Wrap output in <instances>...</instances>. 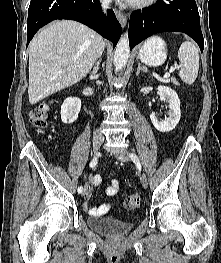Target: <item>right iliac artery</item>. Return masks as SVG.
Instances as JSON below:
<instances>
[{
	"label": "right iliac artery",
	"instance_id": "1",
	"mask_svg": "<svg viewBox=\"0 0 221 263\" xmlns=\"http://www.w3.org/2000/svg\"><path fill=\"white\" fill-rule=\"evenodd\" d=\"M97 163H98V158H97V156H95V157L92 159V161L90 162L89 166H90L91 168H93V167H95V166L97 165ZM77 191H78V193H82L83 188L80 186V187H78Z\"/></svg>",
	"mask_w": 221,
	"mask_h": 263
}]
</instances>
